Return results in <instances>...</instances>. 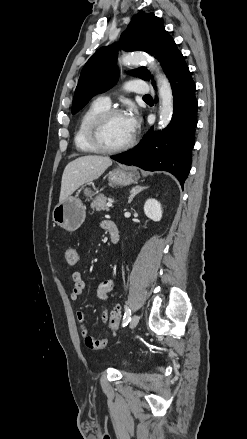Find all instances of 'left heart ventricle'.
I'll use <instances>...</instances> for the list:
<instances>
[{
    "label": "left heart ventricle",
    "instance_id": "b2bd125f",
    "mask_svg": "<svg viewBox=\"0 0 247 439\" xmlns=\"http://www.w3.org/2000/svg\"><path fill=\"white\" fill-rule=\"evenodd\" d=\"M131 137L125 116H114L106 122L103 129V139L106 145L117 147L125 144Z\"/></svg>",
    "mask_w": 247,
    "mask_h": 439
}]
</instances>
